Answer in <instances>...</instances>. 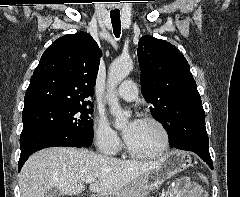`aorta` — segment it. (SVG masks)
Returning <instances> with one entry per match:
<instances>
[{
    "label": "aorta",
    "mask_w": 240,
    "mask_h": 197,
    "mask_svg": "<svg viewBox=\"0 0 240 197\" xmlns=\"http://www.w3.org/2000/svg\"><path fill=\"white\" fill-rule=\"evenodd\" d=\"M132 68L133 63L130 58H118L114 60L109 67L107 80L108 94L106 98L110 112L115 117L114 126L117 129H122L126 126L131 113L122 110L114 90L117 85L129 75Z\"/></svg>",
    "instance_id": "aorta-1"
}]
</instances>
